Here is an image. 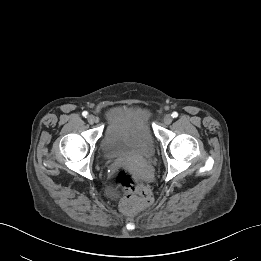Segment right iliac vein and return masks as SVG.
Here are the masks:
<instances>
[{"mask_svg":"<svg viewBox=\"0 0 261 261\" xmlns=\"http://www.w3.org/2000/svg\"><path fill=\"white\" fill-rule=\"evenodd\" d=\"M87 120H88V123L92 125L96 122V117L94 115H89L87 117Z\"/></svg>","mask_w":261,"mask_h":261,"instance_id":"1","label":"right iliac vein"}]
</instances>
